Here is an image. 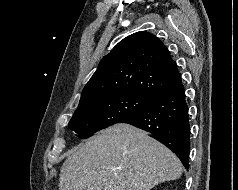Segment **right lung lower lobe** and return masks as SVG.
I'll return each instance as SVG.
<instances>
[{"mask_svg": "<svg viewBox=\"0 0 238 190\" xmlns=\"http://www.w3.org/2000/svg\"><path fill=\"white\" fill-rule=\"evenodd\" d=\"M185 90L179 81L140 112L124 119L127 123L152 134L171 149L189 168L190 124Z\"/></svg>", "mask_w": 238, "mask_h": 190, "instance_id": "right-lung-lower-lobe-1", "label": "right lung lower lobe"}]
</instances>
